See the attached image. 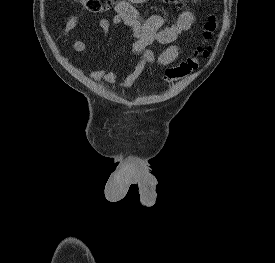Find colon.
Returning <instances> with one entry per match:
<instances>
[{
	"label": "colon",
	"instance_id": "colon-1",
	"mask_svg": "<svg viewBox=\"0 0 275 263\" xmlns=\"http://www.w3.org/2000/svg\"><path fill=\"white\" fill-rule=\"evenodd\" d=\"M80 3L85 10L91 13L99 14L109 10L111 4L114 0H74ZM172 3L176 9H181L185 5L187 0H168ZM204 38L209 40L216 32L218 28L217 21L214 16L209 17L205 23ZM210 53L209 45H201L197 49V53L194 56L188 57L182 60L175 66L168 68L165 71V78L167 81H176L190 75L195 71L198 66L201 58L208 57Z\"/></svg>",
	"mask_w": 275,
	"mask_h": 263
}]
</instances>
